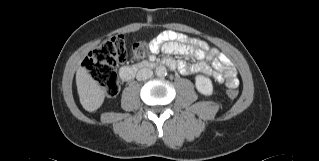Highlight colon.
Instances as JSON below:
<instances>
[{"label": "colon", "instance_id": "1", "mask_svg": "<svg viewBox=\"0 0 319 161\" xmlns=\"http://www.w3.org/2000/svg\"><path fill=\"white\" fill-rule=\"evenodd\" d=\"M150 43L145 40L134 43L132 47L133 58L135 60L144 58L149 51ZM126 56V42L120 35L106 39L88 55L86 68L91 78L102 88L107 97L115 96L119 91L116 65L123 62ZM227 95L230 98H235L238 95L237 86L228 85Z\"/></svg>", "mask_w": 319, "mask_h": 161}]
</instances>
